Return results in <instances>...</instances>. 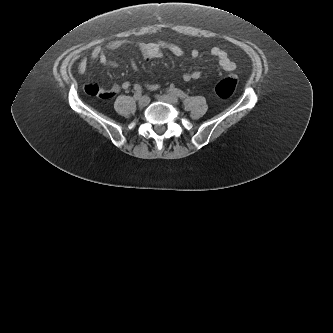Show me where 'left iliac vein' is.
Here are the masks:
<instances>
[{
  "label": "left iliac vein",
  "instance_id": "4c4485c4",
  "mask_svg": "<svg viewBox=\"0 0 333 333\" xmlns=\"http://www.w3.org/2000/svg\"><path fill=\"white\" fill-rule=\"evenodd\" d=\"M157 99L170 104H178L179 102L178 98L172 94L157 95Z\"/></svg>",
  "mask_w": 333,
  "mask_h": 333
}]
</instances>
